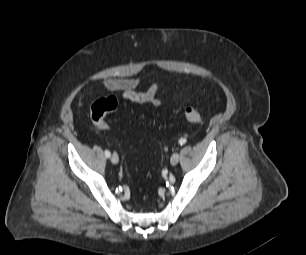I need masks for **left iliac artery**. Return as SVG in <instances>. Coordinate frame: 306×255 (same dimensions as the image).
Wrapping results in <instances>:
<instances>
[{"label":"left iliac artery","instance_id":"1","mask_svg":"<svg viewBox=\"0 0 306 255\" xmlns=\"http://www.w3.org/2000/svg\"><path fill=\"white\" fill-rule=\"evenodd\" d=\"M186 143V139L185 138H181L180 140H179V144L180 145H184Z\"/></svg>","mask_w":306,"mask_h":255}]
</instances>
